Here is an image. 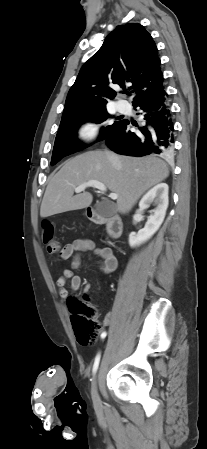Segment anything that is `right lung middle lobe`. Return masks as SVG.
Instances as JSON below:
<instances>
[{
    "instance_id": "1",
    "label": "right lung middle lobe",
    "mask_w": 207,
    "mask_h": 449,
    "mask_svg": "<svg viewBox=\"0 0 207 449\" xmlns=\"http://www.w3.org/2000/svg\"><path fill=\"white\" fill-rule=\"evenodd\" d=\"M110 115L106 109L92 111L89 113L76 115L61 119L60 127L56 135L55 144L52 153L51 165H55L63 157L80 151L85 146L76 140L77 129L80 124L92 121L102 123L106 121ZM122 121H115L106 128L101 129L100 139L107 138L114 130L118 128Z\"/></svg>"
}]
</instances>
